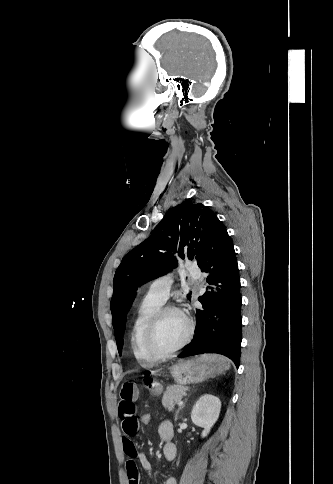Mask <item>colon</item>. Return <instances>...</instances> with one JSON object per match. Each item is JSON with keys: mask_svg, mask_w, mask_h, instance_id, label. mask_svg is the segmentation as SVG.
<instances>
[{"mask_svg": "<svg viewBox=\"0 0 333 484\" xmlns=\"http://www.w3.org/2000/svg\"><path fill=\"white\" fill-rule=\"evenodd\" d=\"M138 419L141 427H148L152 421V417L148 412L142 413Z\"/></svg>", "mask_w": 333, "mask_h": 484, "instance_id": "1", "label": "colon"}]
</instances>
